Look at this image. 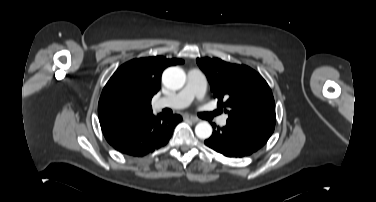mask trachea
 Returning a JSON list of instances; mask_svg holds the SVG:
<instances>
[{
  "label": "trachea",
  "mask_w": 376,
  "mask_h": 202,
  "mask_svg": "<svg viewBox=\"0 0 376 202\" xmlns=\"http://www.w3.org/2000/svg\"><path fill=\"white\" fill-rule=\"evenodd\" d=\"M217 114H218V112L215 111V112H213V113L211 114V116H214V115H217Z\"/></svg>",
  "instance_id": "obj_1"
}]
</instances>
